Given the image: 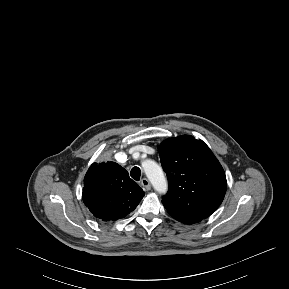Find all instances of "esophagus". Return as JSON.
I'll return each instance as SVG.
<instances>
[{
	"instance_id": "obj_1",
	"label": "esophagus",
	"mask_w": 289,
	"mask_h": 289,
	"mask_svg": "<svg viewBox=\"0 0 289 289\" xmlns=\"http://www.w3.org/2000/svg\"><path fill=\"white\" fill-rule=\"evenodd\" d=\"M141 186L147 191L151 189V184H150L149 180L146 178H143L141 180Z\"/></svg>"
}]
</instances>
